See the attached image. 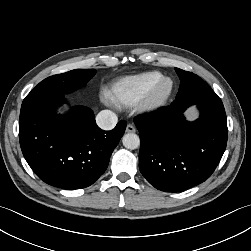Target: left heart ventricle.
Segmentation results:
<instances>
[{"label":"left heart ventricle","instance_id":"b2bd125f","mask_svg":"<svg viewBox=\"0 0 251 251\" xmlns=\"http://www.w3.org/2000/svg\"><path fill=\"white\" fill-rule=\"evenodd\" d=\"M166 88H167V85H165V86L163 87V91L166 90Z\"/></svg>","mask_w":251,"mask_h":251}]
</instances>
